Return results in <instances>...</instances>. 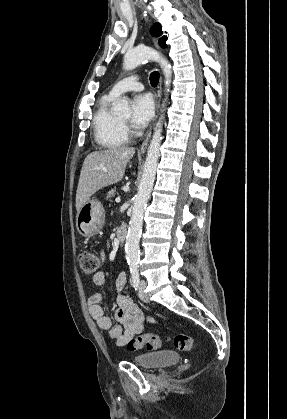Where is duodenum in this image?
I'll return each instance as SVG.
<instances>
[{"instance_id":"1","label":"duodenum","mask_w":287,"mask_h":419,"mask_svg":"<svg viewBox=\"0 0 287 419\" xmlns=\"http://www.w3.org/2000/svg\"><path fill=\"white\" fill-rule=\"evenodd\" d=\"M127 236V230L124 227H119L116 231V239L119 243H122Z\"/></svg>"}]
</instances>
